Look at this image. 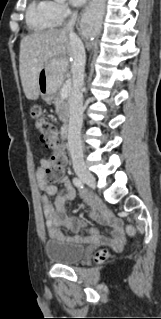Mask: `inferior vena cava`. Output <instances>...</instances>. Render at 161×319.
I'll use <instances>...</instances> for the list:
<instances>
[{
    "mask_svg": "<svg viewBox=\"0 0 161 319\" xmlns=\"http://www.w3.org/2000/svg\"><path fill=\"white\" fill-rule=\"evenodd\" d=\"M76 17L77 13L74 12L71 16V19L68 21V23L62 30L69 33L73 56V64L71 66V72L73 76V90L70 98L68 147L73 162V168L75 170H78L85 169L80 134L84 111L83 94L81 89L84 84L86 54L82 41L73 31V26L75 24Z\"/></svg>",
    "mask_w": 161,
    "mask_h": 319,
    "instance_id": "1",
    "label": "inferior vena cava"
}]
</instances>
